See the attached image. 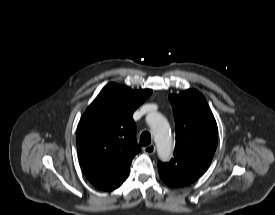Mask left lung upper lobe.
<instances>
[{"mask_svg":"<svg viewBox=\"0 0 275 215\" xmlns=\"http://www.w3.org/2000/svg\"><path fill=\"white\" fill-rule=\"evenodd\" d=\"M176 128L174 158L158 163L160 174L174 183L189 185L208 169L217 147V125L205 97L188 89L170 95Z\"/></svg>","mask_w":275,"mask_h":215,"instance_id":"left-lung-upper-lobe-1","label":"left lung upper lobe"}]
</instances>
